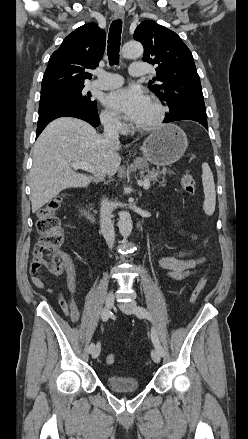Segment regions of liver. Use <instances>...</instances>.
Wrapping results in <instances>:
<instances>
[{"label": "liver", "mask_w": 248, "mask_h": 439, "mask_svg": "<svg viewBox=\"0 0 248 439\" xmlns=\"http://www.w3.org/2000/svg\"><path fill=\"white\" fill-rule=\"evenodd\" d=\"M119 142L107 141L87 122L71 117L52 121L33 147L30 171L31 205L35 213L67 188H86L105 175H114L121 163ZM94 167V176L76 173L70 163Z\"/></svg>", "instance_id": "6515ba94"}]
</instances>
